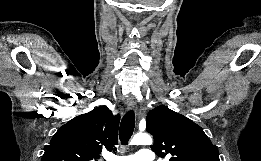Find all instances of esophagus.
Wrapping results in <instances>:
<instances>
[{
  "mask_svg": "<svg viewBox=\"0 0 261 161\" xmlns=\"http://www.w3.org/2000/svg\"><path fill=\"white\" fill-rule=\"evenodd\" d=\"M126 105L128 110H135L137 107V101L133 97L127 98Z\"/></svg>",
  "mask_w": 261,
  "mask_h": 161,
  "instance_id": "esophagus-1",
  "label": "esophagus"
}]
</instances>
